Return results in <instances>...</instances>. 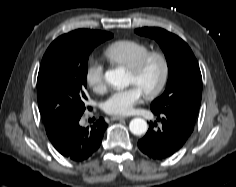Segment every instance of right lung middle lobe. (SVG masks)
<instances>
[{"label":"right lung middle lobe","mask_w":236,"mask_h":187,"mask_svg":"<svg viewBox=\"0 0 236 187\" xmlns=\"http://www.w3.org/2000/svg\"><path fill=\"white\" fill-rule=\"evenodd\" d=\"M112 37L108 32L65 34L48 47L37 78L39 111L47 129L63 128L82 116L89 54Z\"/></svg>","instance_id":"obj_1"}]
</instances>
